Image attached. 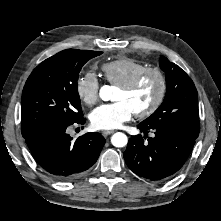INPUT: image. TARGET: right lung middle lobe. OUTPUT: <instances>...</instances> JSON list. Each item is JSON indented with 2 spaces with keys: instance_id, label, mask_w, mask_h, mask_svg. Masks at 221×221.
Masks as SVG:
<instances>
[{
  "instance_id": "1",
  "label": "right lung middle lobe",
  "mask_w": 221,
  "mask_h": 221,
  "mask_svg": "<svg viewBox=\"0 0 221 221\" xmlns=\"http://www.w3.org/2000/svg\"><path fill=\"white\" fill-rule=\"evenodd\" d=\"M102 52L67 49L40 63L26 81L21 99L24 138L52 125L82 118L77 80L83 65Z\"/></svg>"
}]
</instances>
